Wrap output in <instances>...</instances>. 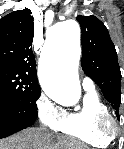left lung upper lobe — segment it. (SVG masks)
<instances>
[{
  "label": "left lung upper lobe",
  "instance_id": "left-lung-upper-lobe-1",
  "mask_svg": "<svg viewBox=\"0 0 124 149\" xmlns=\"http://www.w3.org/2000/svg\"><path fill=\"white\" fill-rule=\"evenodd\" d=\"M77 20L82 30V69L101 88L119 119L121 71L115 46L98 18L79 15Z\"/></svg>",
  "mask_w": 124,
  "mask_h": 149
}]
</instances>
